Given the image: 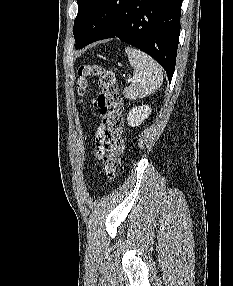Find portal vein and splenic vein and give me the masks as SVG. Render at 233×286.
<instances>
[{
    "mask_svg": "<svg viewBox=\"0 0 233 286\" xmlns=\"http://www.w3.org/2000/svg\"><path fill=\"white\" fill-rule=\"evenodd\" d=\"M130 81H132V79H131V78H129V79H128V82H130Z\"/></svg>",
    "mask_w": 233,
    "mask_h": 286,
    "instance_id": "18ae733b",
    "label": "portal vein and splenic vein"
}]
</instances>
